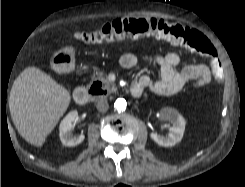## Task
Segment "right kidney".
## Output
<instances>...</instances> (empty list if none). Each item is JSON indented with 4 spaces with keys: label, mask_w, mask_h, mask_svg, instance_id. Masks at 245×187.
<instances>
[{
    "label": "right kidney",
    "mask_w": 245,
    "mask_h": 187,
    "mask_svg": "<svg viewBox=\"0 0 245 187\" xmlns=\"http://www.w3.org/2000/svg\"><path fill=\"white\" fill-rule=\"evenodd\" d=\"M78 118V112L73 110L69 112L61 121L59 126V136L64 146L73 147L83 142L85 136L83 134H72V122Z\"/></svg>",
    "instance_id": "right-kidney-1"
}]
</instances>
